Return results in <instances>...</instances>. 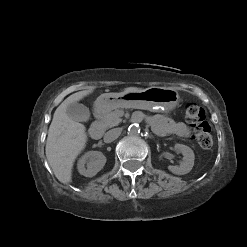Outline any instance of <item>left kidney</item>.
<instances>
[{
  "mask_svg": "<svg viewBox=\"0 0 247 247\" xmlns=\"http://www.w3.org/2000/svg\"><path fill=\"white\" fill-rule=\"evenodd\" d=\"M175 149L183 154V161L179 166H168V169L176 175L189 173L194 166L195 155L193 150L183 144H175Z\"/></svg>",
  "mask_w": 247,
  "mask_h": 247,
  "instance_id": "5707ae66",
  "label": "left kidney"
}]
</instances>
